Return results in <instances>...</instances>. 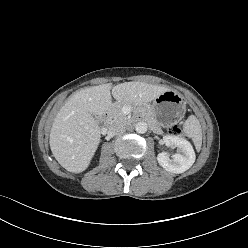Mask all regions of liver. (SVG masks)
Returning <instances> with one entry per match:
<instances>
[{
	"label": "liver",
	"mask_w": 248,
	"mask_h": 248,
	"mask_svg": "<svg viewBox=\"0 0 248 248\" xmlns=\"http://www.w3.org/2000/svg\"><path fill=\"white\" fill-rule=\"evenodd\" d=\"M118 102L142 104L154 100L168 88L144 82L111 83L81 89L72 94L57 113L50 131V148L67 171L87 169L100 143V129L94 116H102Z\"/></svg>",
	"instance_id": "obj_1"
}]
</instances>
